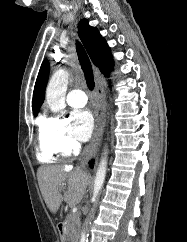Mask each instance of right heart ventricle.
Returning a JSON list of instances; mask_svg holds the SVG:
<instances>
[{
    "label": "right heart ventricle",
    "instance_id": "obj_1",
    "mask_svg": "<svg viewBox=\"0 0 187 242\" xmlns=\"http://www.w3.org/2000/svg\"><path fill=\"white\" fill-rule=\"evenodd\" d=\"M42 124L43 121L40 122L39 127V145L37 148V158L43 163H53L56 160V152L44 140L42 135Z\"/></svg>",
    "mask_w": 187,
    "mask_h": 242
}]
</instances>
